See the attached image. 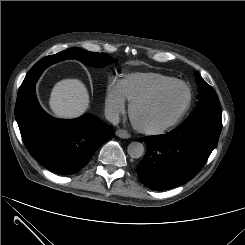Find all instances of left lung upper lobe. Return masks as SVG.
Returning <instances> with one entry per match:
<instances>
[{
    "label": "left lung upper lobe",
    "mask_w": 245,
    "mask_h": 245,
    "mask_svg": "<svg viewBox=\"0 0 245 245\" xmlns=\"http://www.w3.org/2000/svg\"><path fill=\"white\" fill-rule=\"evenodd\" d=\"M196 81L199 88L197 107L181 125L206 124L222 128V114L215 90L201 78L198 72H196Z\"/></svg>",
    "instance_id": "1"
}]
</instances>
